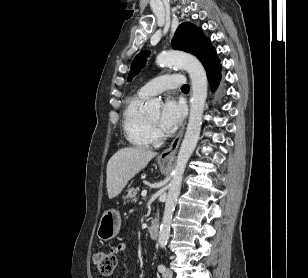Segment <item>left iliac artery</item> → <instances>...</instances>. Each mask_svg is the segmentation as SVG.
I'll use <instances>...</instances> for the list:
<instances>
[{"label":"left iliac artery","instance_id":"1","mask_svg":"<svg viewBox=\"0 0 308 278\" xmlns=\"http://www.w3.org/2000/svg\"><path fill=\"white\" fill-rule=\"evenodd\" d=\"M165 269H166V267H165L163 264H160V265L158 266V270H159L160 272H164Z\"/></svg>","mask_w":308,"mask_h":278}]
</instances>
